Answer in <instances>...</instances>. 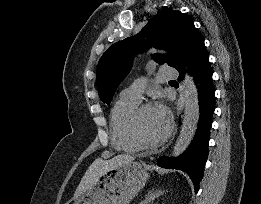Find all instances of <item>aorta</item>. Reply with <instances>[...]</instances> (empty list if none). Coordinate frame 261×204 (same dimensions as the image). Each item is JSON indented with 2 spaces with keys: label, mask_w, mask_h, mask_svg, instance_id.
Here are the masks:
<instances>
[{
  "label": "aorta",
  "mask_w": 261,
  "mask_h": 204,
  "mask_svg": "<svg viewBox=\"0 0 261 204\" xmlns=\"http://www.w3.org/2000/svg\"><path fill=\"white\" fill-rule=\"evenodd\" d=\"M150 52L154 53L156 52V50L152 49ZM184 89L185 111L182 120L181 130L171 153V156L173 157H177L180 154H182L190 145L196 132L200 115L198 90L196 88L193 78L189 74L185 75Z\"/></svg>",
  "instance_id": "762f6f07"
}]
</instances>
